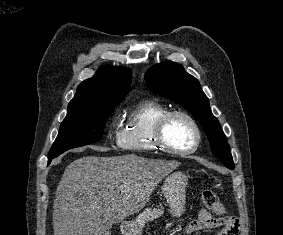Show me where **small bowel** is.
Listing matches in <instances>:
<instances>
[{"label":"small bowel","mask_w":283,"mask_h":235,"mask_svg":"<svg viewBox=\"0 0 283 235\" xmlns=\"http://www.w3.org/2000/svg\"><path fill=\"white\" fill-rule=\"evenodd\" d=\"M220 228L217 235H237L240 228V222L235 217L219 218L213 216L209 211L202 210L197 219L188 223L184 229L185 235L191 233Z\"/></svg>","instance_id":"small-bowel-1"}]
</instances>
